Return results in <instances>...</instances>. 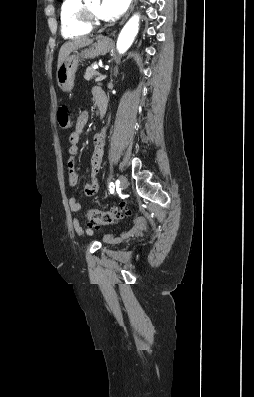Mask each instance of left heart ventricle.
Instances as JSON below:
<instances>
[{"instance_id":"b2bd125f","label":"left heart ventricle","mask_w":254,"mask_h":397,"mask_svg":"<svg viewBox=\"0 0 254 397\" xmlns=\"http://www.w3.org/2000/svg\"><path fill=\"white\" fill-rule=\"evenodd\" d=\"M87 5L99 18H101V15L99 12V8H100L99 0H93V2H90Z\"/></svg>"}]
</instances>
